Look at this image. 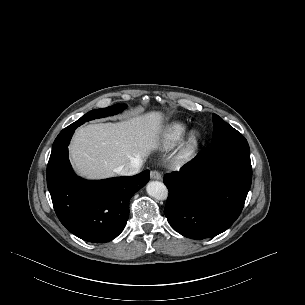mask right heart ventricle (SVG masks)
Wrapping results in <instances>:
<instances>
[{"label":"right heart ventricle","instance_id":"e07e8e85","mask_svg":"<svg viewBox=\"0 0 305 305\" xmlns=\"http://www.w3.org/2000/svg\"><path fill=\"white\" fill-rule=\"evenodd\" d=\"M187 131V127L183 122H171L163 131V140L167 144H175L183 139Z\"/></svg>","mask_w":305,"mask_h":305}]
</instances>
